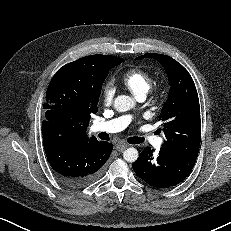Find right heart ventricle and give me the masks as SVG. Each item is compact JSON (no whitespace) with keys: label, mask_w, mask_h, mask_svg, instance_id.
Instances as JSON below:
<instances>
[{"label":"right heart ventricle","mask_w":231,"mask_h":231,"mask_svg":"<svg viewBox=\"0 0 231 231\" xmlns=\"http://www.w3.org/2000/svg\"><path fill=\"white\" fill-rule=\"evenodd\" d=\"M121 83L138 98L148 93L152 84V76L144 69L131 68L123 73Z\"/></svg>","instance_id":"e07e8e85"}]
</instances>
